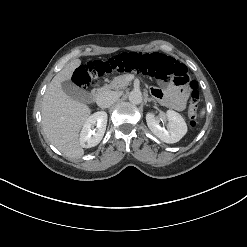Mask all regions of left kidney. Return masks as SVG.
Masks as SVG:
<instances>
[{"instance_id":"5707ae66","label":"left kidney","mask_w":247,"mask_h":247,"mask_svg":"<svg viewBox=\"0 0 247 247\" xmlns=\"http://www.w3.org/2000/svg\"><path fill=\"white\" fill-rule=\"evenodd\" d=\"M166 117L169 121L167 129H163L159 125V121L154 113L146 114V122L152 133L161 141L169 144L176 143L187 133L186 122L179 113L173 110H168Z\"/></svg>"}]
</instances>
